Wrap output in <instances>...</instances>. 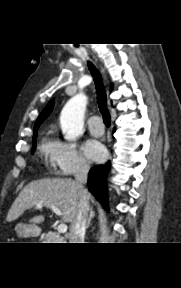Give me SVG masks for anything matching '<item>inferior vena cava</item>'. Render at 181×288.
I'll use <instances>...</instances> for the list:
<instances>
[{
    "instance_id": "602c4592",
    "label": "inferior vena cava",
    "mask_w": 181,
    "mask_h": 288,
    "mask_svg": "<svg viewBox=\"0 0 181 288\" xmlns=\"http://www.w3.org/2000/svg\"><path fill=\"white\" fill-rule=\"evenodd\" d=\"M88 172L89 165L86 163H81L75 174V180L79 188L80 198L77 216L70 225L69 243H84L86 222L89 211L87 191L84 189V184L87 183Z\"/></svg>"
}]
</instances>
